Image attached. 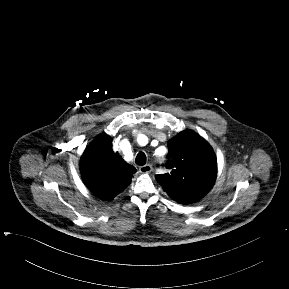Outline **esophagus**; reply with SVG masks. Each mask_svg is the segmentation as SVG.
Masks as SVG:
<instances>
[{
  "label": "esophagus",
  "instance_id": "esophagus-1",
  "mask_svg": "<svg viewBox=\"0 0 289 289\" xmlns=\"http://www.w3.org/2000/svg\"><path fill=\"white\" fill-rule=\"evenodd\" d=\"M139 171L143 174L150 173L152 171V166L150 164L143 165L139 168Z\"/></svg>",
  "mask_w": 289,
  "mask_h": 289
}]
</instances>
